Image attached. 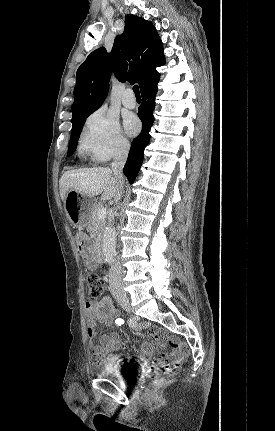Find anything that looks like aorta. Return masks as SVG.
Returning a JSON list of instances; mask_svg holds the SVG:
<instances>
[{"mask_svg":"<svg viewBox=\"0 0 275 431\" xmlns=\"http://www.w3.org/2000/svg\"><path fill=\"white\" fill-rule=\"evenodd\" d=\"M102 251L105 262L113 265L116 256V230L112 225L105 229L102 240Z\"/></svg>","mask_w":275,"mask_h":431,"instance_id":"1","label":"aorta"}]
</instances>
